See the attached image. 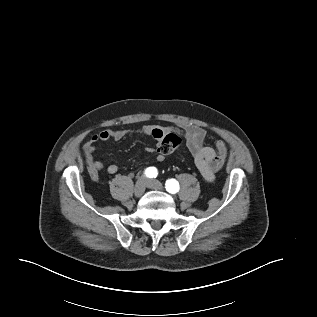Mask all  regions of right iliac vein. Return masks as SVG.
<instances>
[{
    "label": "right iliac vein",
    "instance_id": "obj_1",
    "mask_svg": "<svg viewBox=\"0 0 317 317\" xmlns=\"http://www.w3.org/2000/svg\"><path fill=\"white\" fill-rule=\"evenodd\" d=\"M147 186V179L145 177H141L135 184L134 193L136 196L140 197L145 192Z\"/></svg>",
    "mask_w": 317,
    "mask_h": 317
}]
</instances>
